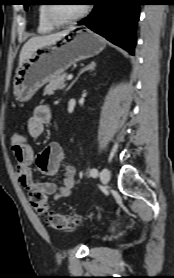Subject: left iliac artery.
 <instances>
[{
    "mask_svg": "<svg viewBox=\"0 0 174 278\" xmlns=\"http://www.w3.org/2000/svg\"><path fill=\"white\" fill-rule=\"evenodd\" d=\"M97 175H98V170L97 169L93 168V169L90 170V176L97 177Z\"/></svg>",
    "mask_w": 174,
    "mask_h": 278,
    "instance_id": "obj_1",
    "label": "left iliac artery"
}]
</instances>
